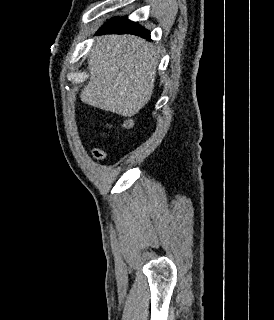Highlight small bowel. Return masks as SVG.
I'll list each match as a JSON object with an SVG mask.
<instances>
[{
	"mask_svg": "<svg viewBox=\"0 0 274 320\" xmlns=\"http://www.w3.org/2000/svg\"><path fill=\"white\" fill-rule=\"evenodd\" d=\"M90 153H94L95 159H101L102 163H111L112 157L106 156V154L103 151L102 146H90L89 148Z\"/></svg>",
	"mask_w": 274,
	"mask_h": 320,
	"instance_id": "c3829d8e",
	"label": "small bowel"
}]
</instances>
